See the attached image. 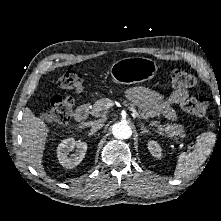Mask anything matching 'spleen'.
Segmentation results:
<instances>
[{
  "label": "spleen",
  "instance_id": "obj_1",
  "mask_svg": "<svg viewBox=\"0 0 221 221\" xmlns=\"http://www.w3.org/2000/svg\"><path fill=\"white\" fill-rule=\"evenodd\" d=\"M216 136L212 132L202 133L197 137L194 149L190 153L181 152L177 156L175 178L187 177L194 173L210 155Z\"/></svg>",
  "mask_w": 221,
  "mask_h": 221
}]
</instances>
